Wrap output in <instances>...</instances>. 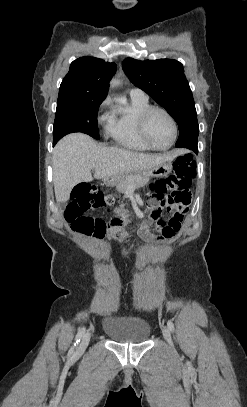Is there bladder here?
Returning a JSON list of instances; mask_svg holds the SVG:
<instances>
[{
    "label": "bladder",
    "instance_id": "1",
    "mask_svg": "<svg viewBox=\"0 0 247 407\" xmlns=\"http://www.w3.org/2000/svg\"><path fill=\"white\" fill-rule=\"evenodd\" d=\"M102 328L112 341L120 343H144L151 333L149 323L136 316H106Z\"/></svg>",
    "mask_w": 247,
    "mask_h": 407
}]
</instances>
